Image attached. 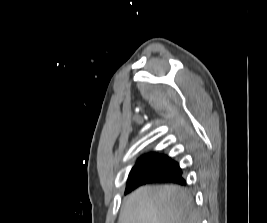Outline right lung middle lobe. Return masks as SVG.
Instances as JSON below:
<instances>
[{"label": "right lung middle lobe", "instance_id": "1", "mask_svg": "<svg viewBox=\"0 0 267 223\" xmlns=\"http://www.w3.org/2000/svg\"><path fill=\"white\" fill-rule=\"evenodd\" d=\"M179 164L168 156L157 155L147 161L137 163L130 172V175L139 173V172H161V173H170L175 170ZM129 175V176H130Z\"/></svg>", "mask_w": 267, "mask_h": 223}]
</instances>
